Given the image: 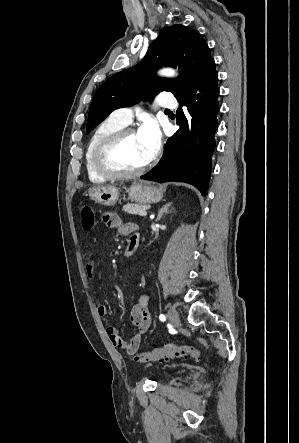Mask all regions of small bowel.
<instances>
[{"label":"small bowel","mask_w":299,"mask_h":443,"mask_svg":"<svg viewBox=\"0 0 299 443\" xmlns=\"http://www.w3.org/2000/svg\"><path fill=\"white\" fill-rule=\"evenodd\" d=\"M102 222L110 227L116 228L122 234L131 233V242L133 239H139L137 234V226L134 223L124 225L121 218L116 213H105L102 215ZM102 263V259H97ZM87 272L91 279L94 275V262H90L87 265ZM148 296L145 293H141L138 297V301L133 305L130 313V320L136 328L134 335L130 339H124L120 336L118 330L114 327H107L106 333L109 337L112 345L118 349L125 351L128 355H133L138 350L142 339L151 325V317L148 308ZM97 313L103 317L107 315L108 309L103 303H98Z\"/></svg>","instance_id":"small-bowel-1"}]
</instances>
